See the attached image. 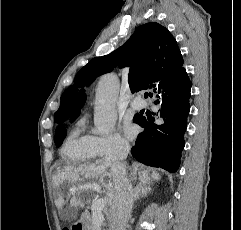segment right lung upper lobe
<instances>
[{"mask_svg": "<svg viewBox=\"0 0 241 230\" xmlns=\"http://www.w3.org/2000/svg\"><path fill=\"white\" fill-rule=\"evenodd\" d=\"M117 65L130 67L128 83L132 93L142 89L153 91L164 77L183 65V58L175 38L164 26L155 22L141 25L121 47L109 55L92 59L76 74L74 85L62 94L54 120L59 123L67 119L78 94L77 88L89 85ZM79 92L82 94L84 90Z\"/></svg>", "mask_w": 241, "mask_h": 230, "instance_id": "1", "label": "right lung upper lobe"}]
</instances>
